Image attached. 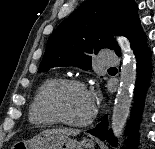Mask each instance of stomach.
Segmentation results:
<instances>
[{"label":"stomach","mask_w":155,"mask_h":149,"mask_svg":"<svg viewBox=\"0 0 155 149\" xmlns=\"http://www.w3.org/2000/svg\"><path fill=\"white\" fill-rule=\"evenodd\" d=\"M18 149H94V142L90 139L77 141L68 135L57 133H40L29 141L17 142Z\"/></svg>","instance_id":"stomach-1"}]
</instances>
